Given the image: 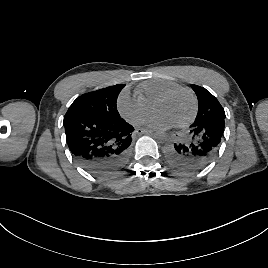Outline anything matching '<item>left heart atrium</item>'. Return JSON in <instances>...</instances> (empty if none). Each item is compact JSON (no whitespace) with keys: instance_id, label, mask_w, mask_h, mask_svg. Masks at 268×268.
I'll use <instances>...</instances> for the list:
<instances>
[{"instance_id":"left-heart-atrium-1","label":"left heart atrium","mask_w":268,"mask_h":268,"mask_svg":"<svg viewBox=\"0 0 268 268\" xmlns=\"http://www.w3.org/2000/svg\"><path fill=\"white\" fill-rule=\"evenodd\" d=\"M151 124L153 127L158 128V129H168L174 124L167 118L161 116V115H156L152 121Z\"/></svg>"}]
</instances>
